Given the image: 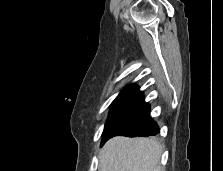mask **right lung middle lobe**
Returning a JSON list of instances; mask_svg holds the SVG:
<instances>
[{"label": "right lung middle lobe", "instance_id": "1", "mask_svg": "<svg viewBox=\"0 0 223 171\" xmlns=\"http://www.w3.org/2000/svg\"><path fill=\"white\" fill-rule=\"evenodd\" d=\"M137 99L134 98H116L111 106L108 119L106 121L103 136L106 131L124 114L126 113Z\"/></svg>", "mask_w": 223, "mask_h": 171}]
</instances>
